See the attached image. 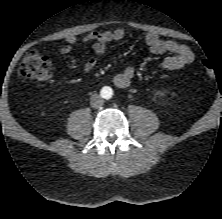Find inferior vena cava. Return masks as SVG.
Listing matches in <instances>:
<instances>
[{
    "label": "inferior vena cava",
    "instance_id": "inferior-vena-cava-1",
    "mask_svg": "<svg viewBox=\"0 0 222 219\" xmlns=\"http://www.w3.org/2000/svg\"><path fill=\"white\" fill-rule=\"evenodd\" d=\"M90 104L93 108H100L104 104V100L98 94H93L90 98Z\"/></svg>",
    "mask_w": 222,
    "mask_h": 219
}]
</instances>
